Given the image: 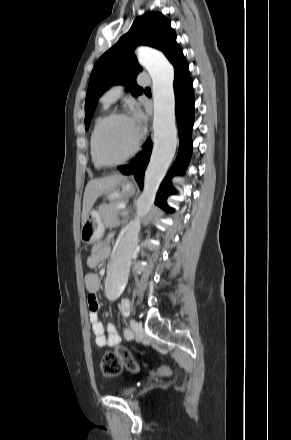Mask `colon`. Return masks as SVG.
Returning a JSON list of instances; mask_svg holds the SVG:
<instances>
[{
	"mask_svg": "<svg viewBox=\"0 0 291 440\" xmlns=\"http://www.w3.org/2000/svg\"><path fill=\"white\" fill-rule=\"evenodd\" d=\"M123 366L132 372H137L138 370V363L132 358L130 352L125 347L118 346L114 350L104 354L100 369L104 376L113 377L121 372ZM163 372L171 373L172 366L166 365L163 368Z\"/></svg>",
	"mask_w": 291,
	"mask_h": 440,
	"instance_id": "1",
	"label": "colon"
}]
</instances>
